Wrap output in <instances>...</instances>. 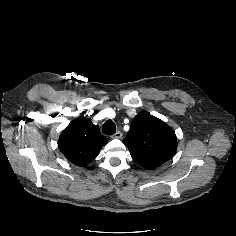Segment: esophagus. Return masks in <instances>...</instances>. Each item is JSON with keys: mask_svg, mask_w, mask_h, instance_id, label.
Returning <instances> with one entry per match:
<instances>
[{"mask_svg": "<svg viewBox=\"0 0 236 236\" xmlns=\"http://www.w3.org/2000/svg\"><path fill=\"white\" fill-rule=\"evenodd\" d=\"M123 136L121 131H117L115 134L112 135V138H117V139H121Z\"/></svg>", "mask_w": 236, "mask_h": 236, "instance_id": "34e87169", "label": "esophagus"}]
</instances>
